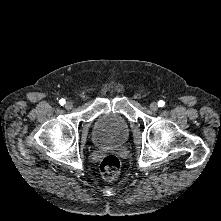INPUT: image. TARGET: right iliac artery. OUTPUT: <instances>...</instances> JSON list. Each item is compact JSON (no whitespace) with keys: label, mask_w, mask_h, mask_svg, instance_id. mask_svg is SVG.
Masks as SVG:
<instances>
[{"label":"right iliac artery","mask_w":221,"mask_h":221,"mask_svg":"<svg viewBox=\"0 0 221 221\" xmlns=\"http://www.w3.org/2000/svg\"><path fill=\"white\" fill-rule=\"evenodd\" d=\"M59 103H60V105H64L66 102H65V99H61V100H59Z\"/></svg>","instance_id":"1"}]
</instances>
